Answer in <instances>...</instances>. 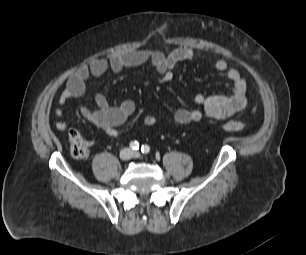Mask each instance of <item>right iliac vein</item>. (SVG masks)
<instances>
[{
  "instance_id": "1",
  "label": "right iliac vein",
  "mask_w": 306,
  "mask_h": 255,
  "mask_svg": "<svg viewBox=\"0 0 306 255\" xmlns=\"http://www.w3.org/2000/svg\"><path fill=\"white\" fill-rule=\"evenodd\" d=\"M131 157H132V152L128 148H125L120 152V158L122 160H129Z\"/></svg>"
}]
</instances>
